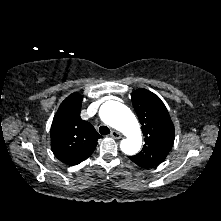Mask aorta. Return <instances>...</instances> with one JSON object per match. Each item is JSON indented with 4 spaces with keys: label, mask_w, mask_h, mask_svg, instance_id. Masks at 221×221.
Returning a JSON list of instances; mask_svg holds the SVG:
<instances>
[{
    "label": "aorta",
    "mask_w": 221,
    "mask_h": 221,
    "mask_svg": "<svg viewBox=\"0 0 221 221\" xmlns=\"http://www.w3.org/2000/svg\"><path fill=\"white\" fill-rule=\"evenodd\" d=\"M100 117L106 124L126 136L120 143L122 152L127 155L138 153L142 145L141 130L130 109L117 101H107L100 109Z\"/></svg>",
    "instance_id": "aorta-1"
}]
</instances>
